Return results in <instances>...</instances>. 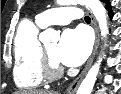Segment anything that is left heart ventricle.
<instances>
[{
  "mask_svg": "<svg viewBox=\"0 0 121 94\" xmlns=\"http://www.w3.org/2000/svg\"><path fill=\"white\" fill-rule=\"evenodd\" d=\"M45 48H46L47 52L50 54V56L58 63V61L56 60V57H55L57 43L53 42V43L46 44Z\"/></svg>",
  "mask_w": 121,
  "mask_h": 94,
  "instance_id": "b2bd125f",
  "label": "left heart ventricle"
}]
</instances>
